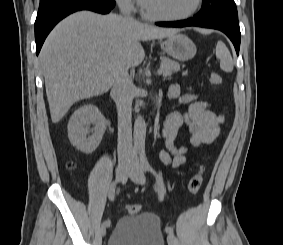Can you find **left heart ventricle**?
Listing matches in <instances>:
<instances>
[{"label": "left heart ventricle", "instance_id": "1", "mask_svg": "<svg viewBox=\"0 0 283 245\" xmlns=\"http://www.w3.org/2000/svg\"><path fill=\"white\" fill-rule=\"evenodd\" d=\"M195 0H145V8L157 15L178 16L189 11Z\"/></svg>", "mask_w": 283, "mask_h": 245}]
</instances>
